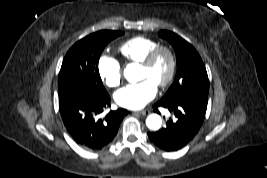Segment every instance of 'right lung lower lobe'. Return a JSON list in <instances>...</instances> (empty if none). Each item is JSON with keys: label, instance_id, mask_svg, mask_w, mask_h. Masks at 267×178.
Segmentation results:
<instances>
[{"label": "right lung lower lobe", "instance_id": "98d812e1", "mask_svg": "<svg viewBox=\"0 0 267 178\" xmlns=\"http://www.w3.org/2000/svg\"><path fill=\"white\" fill-rule=\"evenodd\" d=\"M109 106L107 93L84 88L59 93V110L68 133L79 146L88 150H101L108 146L128 114L127 110L118 109L101 118L100 114Z\"/></svg>", "mask_w": 267, "mask_h": 178}]
</instances>
